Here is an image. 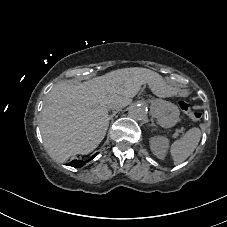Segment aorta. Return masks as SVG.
Returning <instances> with one entry per match:
<instances>
[{"label": "aorta", "mask_w": 227, "mask_h": 227, "mask_svg": "<svg viewBox=\"0 0 227 227\" xmlns=\"http://www.w3.org/2000/svg\"><path fill=\"white\" fill-rule=\"evenodd\" d=\"M128 114L134 120H144L147 117V108L142 104L134 103L129 106Z\"/></svg>", "instance_id": "1"}]
</instances>
